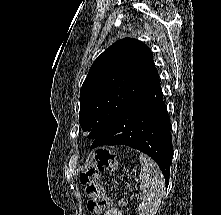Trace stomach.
Wrapping results in <instances>:
<instances>
[{
    "label": "stomach",
    "mask_w": 221,
    "mask_h": 215,
    "mask_svg": "<svg viewBox=\"0 0 221 215\" xmlns=\"http://www.w3.org/2000/svg\"><path fill=\"white\" fill-rule=\"evenodd\" d=\"M125 172H128V170L126 168L123 169Z\"/></svg>",
    "instance_id": "stomach-1"
}]
</instances>
